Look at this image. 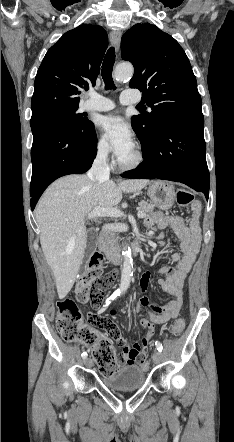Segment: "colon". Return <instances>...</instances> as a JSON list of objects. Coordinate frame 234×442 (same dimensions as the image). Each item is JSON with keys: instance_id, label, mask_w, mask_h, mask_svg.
<instances>
[{"instance_id": "obj_1", "label": "colon", "mask_w": 234, "mask_h": 442, "mask_svg": "<svg viewBox=\"0 0 234 442\" xmlns=\"http://www.w3.org/2000/svg\"><path fill=\"white\" fill-rule=\"evenodd\" d=\"M193 199V194L186 189H179L176 192V200L180 206L190 205ZM101 263L102 255L95 253L90 259L87 272L76 283L75 297L77 302L91 303L95 307H99L101 304L104 292L111 287L117 275L116 271L103 274ZM56 325L64 341L80 342L91 348L93 359L100 367V372L104 377H112L117 373L119 366L123 364L121 355H116L110 339L98 333L97 330H102L101 328H90L89 322L88 325L82 324V316L74 300L66 299L60 302ZM184 326V320L178 319L171 328L172 335L181 334ZM141 368L144 371L150 368L145 359L142 361Z\"/></svg>"}]
</instances>
